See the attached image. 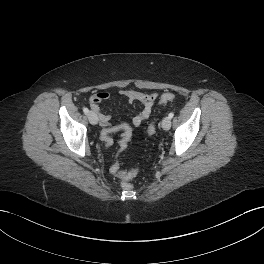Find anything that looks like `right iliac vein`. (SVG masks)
Masks as SVG:
<instances>
[{
	"instance_id": "1",
	"label": "right iliac vein",
	"mask_w": 264,
	"mask_h": 264,
	"mask_svg": "<svg viewBox=\"0 0 264 264\" xmlns=\"http://www.w3.org/2000/svg\"><path fill=\"white\" fill-rule=\"evenodd\" d=\"M87 116L91 124L96 125L98 123L97 115L93 111H90Z\"/></svg>"
}]
</instances>
